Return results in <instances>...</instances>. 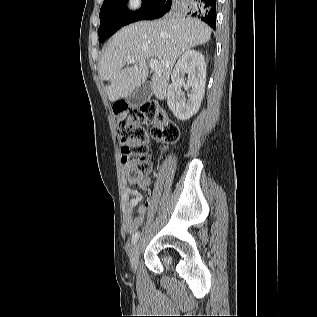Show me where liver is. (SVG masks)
<instances>
[{
  "instance_id": "6515ba94",
  "label": "liver",
  "mask_w": 317,
  "mask_h": 317,
  "mask_svg": "<svg viewBox=\"0 0 317 317\" xmlns=\"http://www.w3.org/2000/svg\"><path fill=\"white\" fill-rule=\"evenodd\" d=\"M210 37L211 28L204 22L172 14L123 27L105 47L99 62L101 78L110 82L106 86L109 100L127 98L145 83L148 59L159 62L151 79L153 94L157 99H165L177 58L190 48L208 42ZM128 56L135 62L124 68Z\"/></svg>"
}]
</instances>
